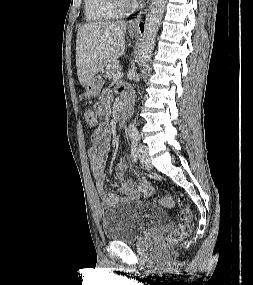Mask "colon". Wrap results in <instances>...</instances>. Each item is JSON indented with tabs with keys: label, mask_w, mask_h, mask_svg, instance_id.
I'll return each instance as SVG.
<instances>
[{
	"label": "colon",
	"mask_w": 253,
	"mask_h": 285,
	"mask_svg": "<svg viewBox=\"0 0 253 285\" xmlns=\"http://www.w3.org/2000/svg\"><path fill=\"white\" fill-rule=\"evenodd\" d=\"M86 122L90 126H96L100 122L98 114L94 110H87L85 112ZM157 202L166 208H171L174 206V199L170 195H165L157 200ZM180 223L175 230L170 232L166 237L164 244L165 246H173L185 237H187L191 232V219L192 213L189 206L185 205L179 213Z\"/></svg>",
	"instance_id": "1"
}]
</instances>
